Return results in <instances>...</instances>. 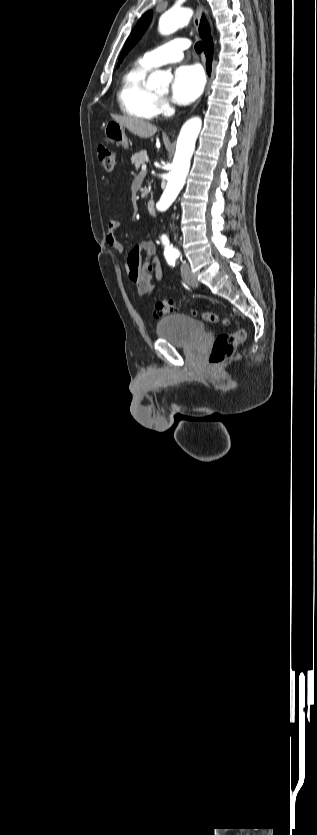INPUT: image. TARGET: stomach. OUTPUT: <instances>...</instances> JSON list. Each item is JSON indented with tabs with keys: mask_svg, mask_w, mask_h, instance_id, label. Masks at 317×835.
Instances as JSON below:
<instances>
[{
	"mask_svg": "<svg viewBox=\"0 0 317 835\" xmlns=\"http://www.w3.org/2000/svg\"><path fill=\"white\" fill-rule=\"evenodd\" d=\"M104 133L109 141L128 149V139L123 125L116 121H108L104 127Z\"/></svg>",
	"mask_w": 317,
	"mask_h": 835,
	"instance_id": "1",
	"label": "stomach"
}]
</instances>
